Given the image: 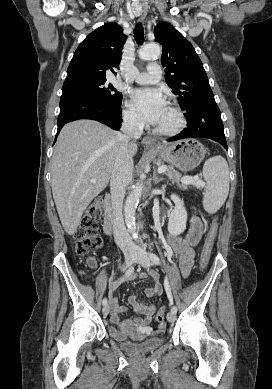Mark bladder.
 <instances>
[{"label":"bladder","mask_w":272,"mask_h":389,"mask_svg":"<svg viewBox=\"0 0 272 389\" xmlns=\"http://www.w3.org/2000/svg\"><path fill=\"white\" fill-rule=\"evenodd\" d=\"M112 338L117 340L119 347L131 355H144L154 352L164 343L162 338H149L141 342L119 340L110 332Z\"/></svg>","instance_id":"31cf9c89"}]
</instances>
